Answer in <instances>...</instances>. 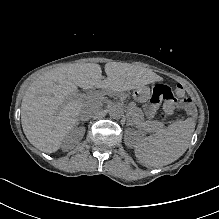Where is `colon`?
<instances>
[{"instance_id": "1", "label": "colon", "mask_w": 219, "mask_h": 219, "mask_svg": "<svg viewBox=\"0 0 219 219\" xmlns=\"http://www.w3.org/2000/svg\"><path fill=\"white\" fill-rule=\"evenodd\" d=\"M173 96L178 98L181 102L189 101L185 89L180 84L175 86L173 90ZM175 107V99L171 97L165 102L163 106V112L160 115L161 120L165 121L168 119L174 113Z\"/></svg>"}]
</instances>
